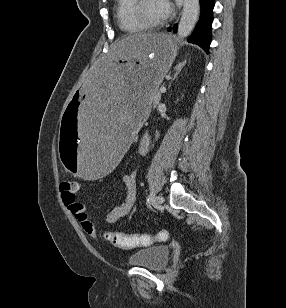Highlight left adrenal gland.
Wrapping results in <instances>:
<instances>
[{
	"mask_svg": "<svg viewBox=\"0 0 286 308\" xmlns=\"http://www.w3.org/2000/svg\"><path fill=\"white\" fill-rule=\"evenodd\" d=\"M186 61L179 63L174 69L176 70V74L174 75V77L172 78L171 82L173 80H175L177 78V76L179 75V73L181 72L182 68L185 66ZM171 82L169 84V87L171 86Z\"/></svg>",
	"mask_w": 286,
	"mask_h": 308,
	"instance_id": "a2214340",
	"label": "left adrenal gland"
}]
</instances>
